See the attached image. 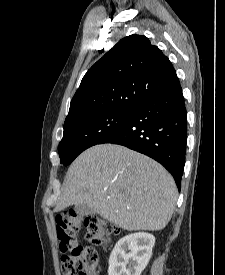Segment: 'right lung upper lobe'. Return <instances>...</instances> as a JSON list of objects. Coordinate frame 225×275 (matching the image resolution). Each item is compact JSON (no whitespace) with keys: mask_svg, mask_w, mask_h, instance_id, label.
Returning <instances> with one entry per match:
<instances>
[{"mask_svg":"<svg viewBox=\"0 0 225 275\" xmlns=\"http://www.w3.org/2000/svg\"><path fill=\"white\" fill-rule=\"evenodd\" d=\"M179 86L175 69L157 46L145 36H127L85 74L64 125L97 113L133 110Z\"/></svg>","mask_w":225,"mask_h":275,"instance_id":"cb5924a9","label":"right lung upper lobe"}]
</instances>
